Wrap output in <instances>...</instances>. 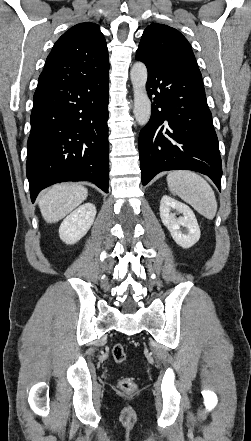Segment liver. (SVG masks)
Returning a JSON list of instances; mask_svg holds the SVG:
<instances>
[{
    "instance_id": "obj_1",
    "label": "liver",
    "mask_w": 251,
    "mask_h": 441,
    "mask_svg": "<svg viewBox=\"0 0 251 441\" xmlns=\"http://www.w3.org/2000/svg\"><path fill=\"white\" fill-rule=\"evenodd\" d=\"M88 190L78 184H56L42 194L38 205L47 223H56L78 207Z\"/></svg>"
}]
</instances>
